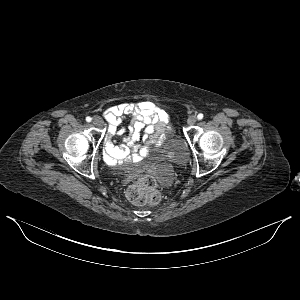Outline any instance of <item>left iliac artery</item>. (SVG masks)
<instances>
[{"instance_id": "44dca946", "label": "left iliac artery", "mask_w": 300, "mask_h": 300, "mask_svg": "<svg viewBox=\"0 0 300 300\" xmlns=\"http://www.w3.org/2000/svg\"><path fill=\"white\" fill-rule=\"evenodd\" d=\"M203 114L202 113H199L198 115H197V118H198V120H201V119H203Z\"/></svg>"}]
</instances>
